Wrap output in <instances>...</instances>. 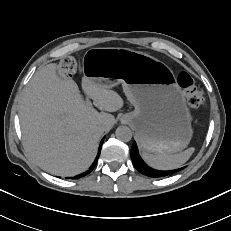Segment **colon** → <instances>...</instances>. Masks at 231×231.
Instances as JSON below:
<instances>
[{
    "mask_svg": "<svg viewBox=\"0 0 231 231\" xmlns=\"http://www.w3.org/2000/svg\"><path fill=\"white\" fill-rule=\"evenodd\" d=\"M60 67L65 74L72 75L76 71V62L73 58H64L61 61ZM177 80L179 85L186 92L189 107L194 110H198L202 106L203 97L201 92L196 87L192 76L189 73L182 71L179 73Z\"/></svg>",
    "mask_w": 231,
    "mask_h": 231,
    "instance_id": "colon-1",
    "label": "colon"
}]
</instances>
